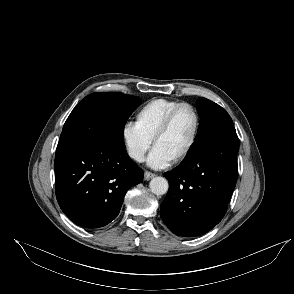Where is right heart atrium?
Here are the masks:
<instances>
[{"mask_svg":"<svg viewBox=\"0 0 294 294\" xmlns=\"http://www.w3.org/2000/svg\"><path fill=\"white\" fill-rule=\"evenodd\" d=\"M121 138L127 155L135 162H141L152 144L136 122L128 121L121 128Z\"/></svg>","mask_w":294,"mask_h":294,"instance_id":"d8ad5b80","label":"right heart atrium"}]
</instances>
